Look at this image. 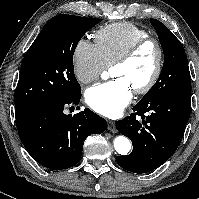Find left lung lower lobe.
<instances>
[{
    "label": "left lung lower lobe",
    "instance_id": "0a47b994",
    "mask_svg": "<svg viewBox=\"0 0 199 199\" xmlns=\"http://www.w3.org/2000/svg\"><path fill=\"white\" fill-rule=\"evenodd\" d=\"M133 111L116 122L117 130L133 144L132 152L117 156L116 161L128 171L146 173L166 162L179 146L190 116L191 96L177 95L147 105L136 104Z\"/></svg>",
    "mask_w": 199,
    "mask_h": 199
}]
</instances>
